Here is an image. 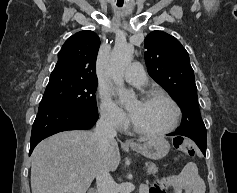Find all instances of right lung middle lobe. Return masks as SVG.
<instances>
[{"mask_svg":"<svg viewBox=\"0 0 237 193\" xmlns=\"http://www.w3.org/2000/svg\"><path fill=\"white\" fill-rule=\"evenodd\" d=\"M97 80H83L61 75H50L40 104H54L69 109L97 113Z\"/></svg>","mask_w":237,"mask_h":193,"instance_id":"right-lung-middle-lobe-1","label":"right lung middle lobe"}]
</instances>
